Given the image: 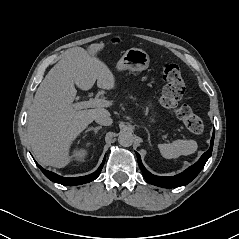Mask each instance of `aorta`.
I'll use <instances>...</instances> for the list:
<instances>
[{
	"instance_id": "762f6f07",
	"label": "aorta",
	"mask_w": 239,
	"mask_h": 239,
	"mask_svg": "<svg viewBox=\"0 0 239 239\" xmlns=\"http://www.w3.org/2000/svg\"><path fill=\"white\" fill-rule=\"evenodd\" d=\"M118 142L123 147H129L134 143V136L129 131H122L119 133Z\"/></svg>"
}]
</instances>
